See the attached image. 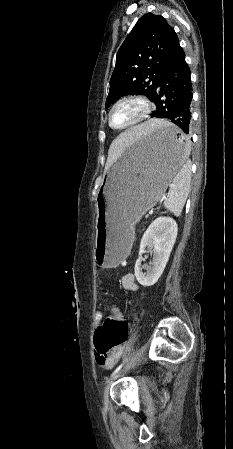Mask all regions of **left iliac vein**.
I'll use <instances>...</instances> for the list:
<instances>
[{
    "instance_id": "obj_1",
    "label": "left iliac vein",
    "mask_w": 233,
    "mask_h": 449,
    "mask_svg": "<svg viewBox=\"0 0 233 449\" xmlns=\"http://www.w3.org/2000/svg\"><path fill=\"white\" fill-rule=\"evenodd\" d=\"M128 365L121 368L114 376H112L111 380L107 384L104 393H103V406L105 409H108L109 407V389L112 383L127 369Z\"/></svg>"
}]
</instances>
